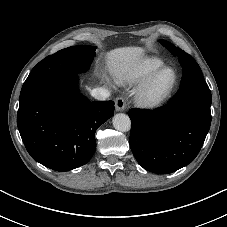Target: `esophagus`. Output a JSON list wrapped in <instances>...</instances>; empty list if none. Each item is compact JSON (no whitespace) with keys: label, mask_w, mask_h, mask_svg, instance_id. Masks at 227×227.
I'll return each mask as SVG.
<instances>
[{"label":"esophagus","mask_w":227,"mask_h":227,"mask_svg":"<svg viewBox=\"0 0 227 227\" xmlns=\"http://www.w3.org/2000/svg\"><path fill=\"white\" fill-rule=\"evenodd\" d=\"M126 101L123 98H117L115 100L116 111H124L126 109Z\"/></svg>","instance_id":"obj_1"}]
</instances>
